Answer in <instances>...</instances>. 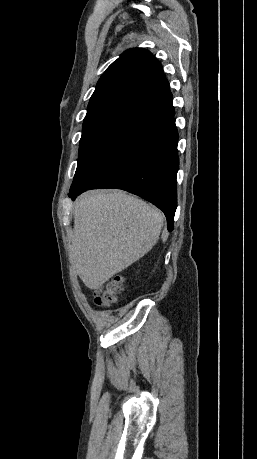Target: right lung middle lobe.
Listing matches in <instances>:
<instances>
[{
	"instance_id": "obj_1",
	"label": "right lung middle lobe",
	"mask_w": 257,
	"mask_h": 459,
	"mask_svg": "<svg viewBox=\"0 0 257 459\" xmlns=\"http://www.w3.org/2000/svg\"><path fill=\"white\" fill-rule=\"evenodd\" d=\"M135 113L125 108H110L86 114L76 173L107 146L121 125Z\"/></svg>"
}]
</instances>
